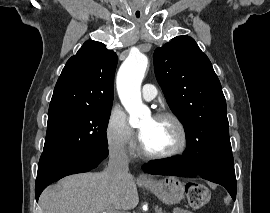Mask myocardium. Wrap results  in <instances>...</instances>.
Segmentation results:
<instances>
[{
  "label": "myocardium",
  "instance_id": "myocardium-1",
  "mask_svg": "<svg viewBox=\"0 0 270 213\" xmlns=\"http://www.w3.org/2000/svg\"><path fill=\"white\" fill-rule=\"evenodd\" d=\"M153 119H156V120L167 119V120L172 121L180 133V144L169 152L152 153V152H149L141 142L139 146L140 154L144 158L150 159V160L170 159V158H174L183 154L186 151L187 146H188V134H187V130L183 122L175 114L171 112H166V111L156 113L153 116Z\"/></svg>",
  "mask_w": 270,
  "mask_h": 213
}]
</instances>
